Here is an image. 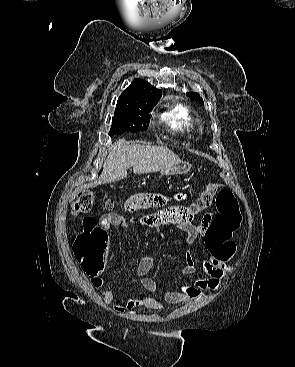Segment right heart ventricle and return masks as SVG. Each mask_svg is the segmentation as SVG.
<instances>
[{
  "label": "right heart ventricle",
  "mask_w": 295,
  "mask_h": 367,
  "mask_svg": "<svg viewBox=\"0 0 295 367\" xmlns=\"http://www.w3.org/2000/svg\"><path fill=\"white\" fill-rule=\"evenodd\" d=\"M161 121L175 132H184L193 129L196 119L186 106L177 104L161 115Z\"/></svg>",
  "instance_id": "1"
}]
</instances>
